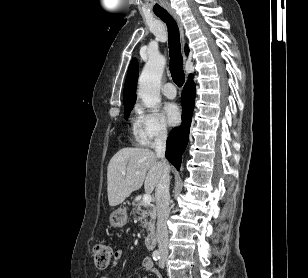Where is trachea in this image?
Listing matches in <instances>:
<instances>
[{
  "label": "trachea",
  "instance_id": "3493384b",
  "mask_svg": "<svg viewBox=\"0 0 308 278\" xmlns=\"http://www.w3.org/2000/svg\"><path fill=\"white\" fill-rule=\"evenodd\" d=\"M156 15L166 23L168 28V44L170 54V72L173 81L178 85L182 86L185 82V75L183 71V58L180 47V35L179 29L168 12H159Z\"/></svg>",
  "mask_w": 308,
  "mask_h": 278
}]
</instances>
